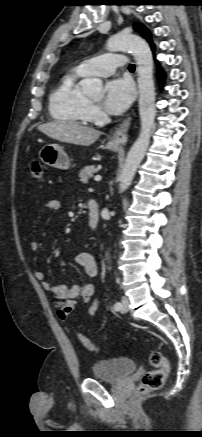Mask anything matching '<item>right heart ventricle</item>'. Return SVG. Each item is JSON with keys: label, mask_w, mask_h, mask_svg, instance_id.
Returning a JSON list of instances; mask_svg holds the SVG:
<instances>
[{"label": "right heart ventricle", "mask_w": 202, "mask_h": 437, "mask_svg": "<svg viewBox=\"0 0 202 437\" xmlns=\"http://www.w3.org/2000/svg\"><path fill=\"white\" fill-rule=\"evenodd\" d=\"M85 75L74 68L61 77L49 96V112L52 118L75 124H86L91 119V103L78 87Z\"/></svg>", "instance_id": "e07e8e85"}]
</instances>
